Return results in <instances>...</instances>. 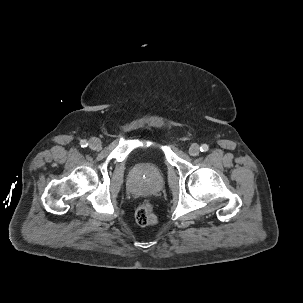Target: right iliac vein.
Masks as SVG:
<instances>
[{
    "mask_svg": "<svg viewBox=\"0 0 303 303\" xmlns=\"http://www.w3.org/2000/svg\"><path fill=\"white\" fill-rule=\"evenodd\" d=\"M89 147L92 150H98L101 147V141L100 139L93 137L89 140Z\"/></svg>",
    "mask_w": 303,
    "mask_h": 303,
    "instance_id": "1",
    "label": "right iliac vein"
}]
</instances>
